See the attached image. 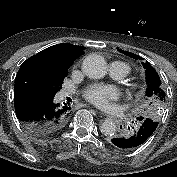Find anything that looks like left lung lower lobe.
I'll use <instances>...</instances> for the list:
<instances>
[{
    "instance_id": "left-lung-lower-lobe-1",
    "label": "left lung lower lobe",
    "mask_w": 177,
    "mask_h": 177,
    "mask_svg": "<svg viewBox=\"0 0 177 177\" xmlns=\"http://www.w3.org/2000/svg\"><path fill=\"white\" fill-rule=\"evenodd\" d=\"M157 126L158 122L150 118H143L134 132L129 135L114 137L112 143L120 149H134L142 145L153 134Z\"/></svg>"
}]
</instances>
